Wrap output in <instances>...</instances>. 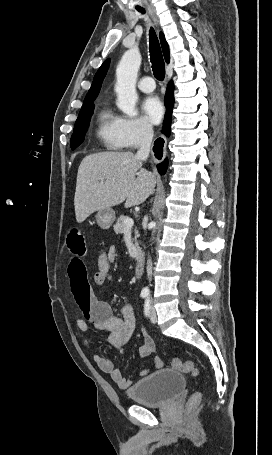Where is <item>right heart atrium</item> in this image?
<instances>
[{
  "label": "right heart atrium",
  "mask_w": 272,
  "mask_h": 455,
  "mask_svg": "<svg viewBox=\"0 0 272 455\" xmlns=\"http://www.w3.org/2000/svg\"><path fill=\"white\" fill-rule=\"evenodd\" d=\"M119 133L124 147L136 148L152 138L153 130L144 118L121 117Z\"/></svg>",
  "instance_id": "d8ad5b80"
}]
</instances>
